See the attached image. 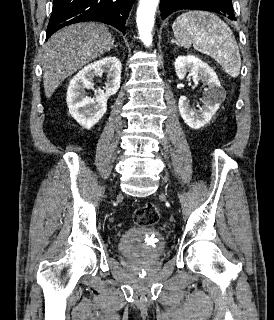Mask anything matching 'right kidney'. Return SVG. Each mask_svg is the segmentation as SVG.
I'll use <instances>...</instances> for the list:
<instances>
[{
	"label": "right kidney",
	"mask_w": 274,
	"mask_h": 320,
	"mask_svg": "<svg viewBox=\"0 0 274 320\" xmlns=\"http://www.w3.org/2000/svg\"><path fill=\"white\" fill-rule=\"evenodd\" d=\"M103 72L107 76L105 88L104 90H94L92 80L94 76H101ZM121 74L120 60L115 56H106L102 60L88 64L72 78L68 86L66 102L72 118L82 128L90 130L106 114L109 96H114L120 88ZM87 88L94 90V98H86L85 90Z\"/></svg>",
	"instance_id": "obj_1"
}]
</instances>
